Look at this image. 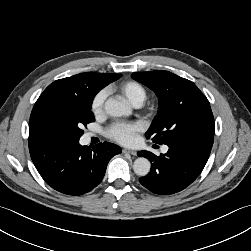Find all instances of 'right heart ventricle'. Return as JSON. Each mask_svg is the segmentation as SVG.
I'll return each instance as SVG.
<instances>
[{"label": "right heart ventricle", "instance_id": "1", "mask_svg": "<svg viewBox=\"0 0 251 251\" xmlns=\"http://www.w3.org/2000/svg\"><path fill=\"white\" fill-rule=\"evenodd\" d=\"M120 92L135 106L141 105L147 96L144 86L137 81H125L119 85Z\"/></svg>", "mask_w": 251, "mask_h": 251}]
</instances>
